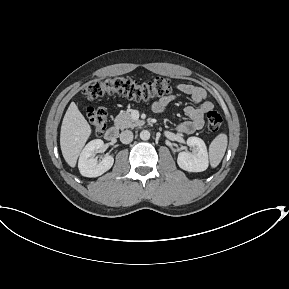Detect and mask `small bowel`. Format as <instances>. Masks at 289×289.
<instances>
[{
  "label": "small bowel",
  "mask_w": 289,
  "mask_h": 289,
  "mask_svg": "<svg viewBox=\"0 0 289 289\" xmlns=\"http://www.w3.org/2000/svg\"><path fill=\"white\" fill-rule=\"evenodd\" d=\"M176 89L179 92L190 96L195 104V106L189 105L185 108L184 112L188 119L177 125V131L185 134H192L203 127L204 116L213 109V104L206 101V92L199 86L180 83L176 85ZM175 99V95H165L156 101L152 108L155 112L162 113Z\"/></svg>",
  "instance_id": "obj_1"
}]
</instances>
